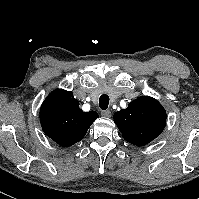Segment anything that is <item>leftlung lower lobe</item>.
I'll list each match as a JSON object with an SVG mask.
<instances>
[{
	"label": "left lung lower lobe",
	"instance_id": "1",
	"mask_svg": "<svg viewBox=\"0 0 199 199\" xmlns=\"http://www.w3.org/2000/svg\"><path fill=\"white\" fill-rule=\"evenodd\" d=\"M132 144L137 145V146H143V145H141V144H135V143H132Z\"/></svg>",
	"mask_w": 199,
	"mask_h": 199
}]
</instances>
